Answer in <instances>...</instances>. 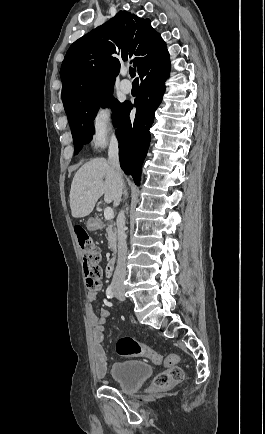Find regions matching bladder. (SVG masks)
Listing matches in <instances>:
<instances>
[{
	"label": "bladder",
	"instance_id": "bladder-1",
	"mask_svg": "<svg viewBox=\"0 0 265 434\" xmlns=\"http://www.w3.org/2000/svg\"><path fill=\"white\" fill-rule=\"evenodd\" d=\"M109 373L122 392L131 394L151 376L152 368L145 362L129 360L114 363Z\"/></svg>",
	"mask_w": 265,
	"mask_h": 434
}]
</instances>
